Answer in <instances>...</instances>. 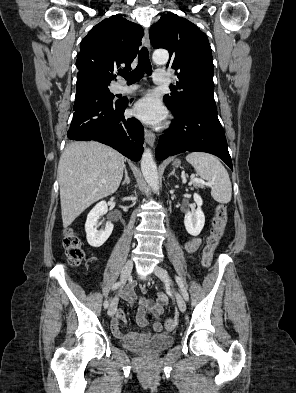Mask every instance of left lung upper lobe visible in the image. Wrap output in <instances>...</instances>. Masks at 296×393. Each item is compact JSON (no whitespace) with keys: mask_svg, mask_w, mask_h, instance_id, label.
Returning <instances> with one entry per match:
<instances>
[{"mask_svg":"<svg viewBox=\"0 0 296 393\" xmlns=\"http://www.w3.org/2000/svg\"><path fill=\"white\" fill-rule=\"evenodd\" d=\"M149 35L155 49L169 51L167 67L174 68L179 78L172 93L164 96L171 112L178 114L188 104L197 101L215 103L214 65L206 34L185 18L170 13L163 15L150 28Z\"/></svg>","mask_w":296,"mask_h":393,"instance_id":"left-lung-upper-lobe-1","label":"left lung upper lobe"}]
</instances>
